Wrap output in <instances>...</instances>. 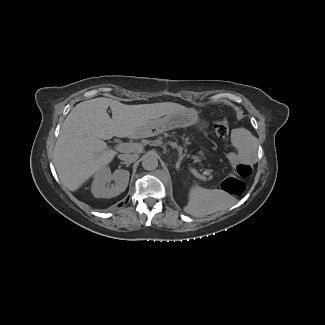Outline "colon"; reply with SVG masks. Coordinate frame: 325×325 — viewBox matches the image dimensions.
<instances>
[{"mask_svg": "<svg viewBox=\"0 0 325 325\" xmlns=\"http://www.w3.org/2000/svg\"><path fill=\"white\" fill-rule=\"evenodd\" d=\"M217 136L223 141L229 138V126L225 121H217L214 124ZM252 170L249 165L239 164L233 171L223 180L222 189L230 194L241 195L245 190L244 179L250 176Z\"/></svg>", "mask_w": 325, "mask_h": 325, "instance_id": "5ec220e1", "label": "colon"}]
</instances>
